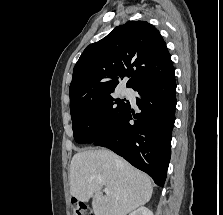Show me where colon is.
Returning a JSON list of instances; mask_svg holds the SVG:
<instances>
[{"instance_id": "obj_1", "label": "colon", "mask_w": 223, "mask_h": 215, "mask_svg": "<svg viewBox=\"0 0 223 215\" xmlns=\"http://www.w3.org/2000/svg\"><path fill=\"white\" fill-rule=\"evenodd\" d=\"M72 215H93V214L85 204L78 201H73Z\"/></svg>"}]
</instances>
